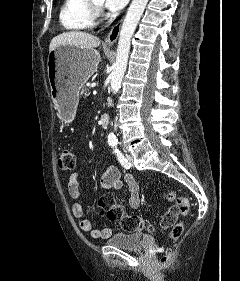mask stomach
I'll use <instances>...</instances> for the list:
<instances>
[{
    "label": "stomach",
    "instance_id": "stomach-1",
    "mask_svg": "<svg viewBox=\"0 0 240 281\" xmlns=\"http://www.w3.org/2000/svg\"><path fill=\"white\" fill-rule=\"evenodd\" d=\"M100 62L94 48L60 45L49 52L47 72L51 98L64 120L74 118L79 91Z\"/></svg>",
    "mask_w": 240,
    "mask_h": 281
}]
</instances>
